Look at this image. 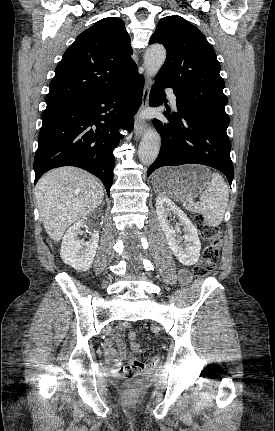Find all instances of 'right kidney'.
I'll return each instance as SVG.
<instances>
[{
	"label": "right kidney",
	"mask_w": 275,
	"mask_h": 431,
	"mask_svg": "<svg viewBox=\"0 0 275 431\" xmlns=\"http://www.w3.org/2000/svg\"><path fill=\"white\" fill-rule=\"evenodd\" d=\"M80 220L71 226L65 233L62 246L61 258L65 264L71 265L77 271H87L91 266L98 248L99 234L94 230L88 242L79 240L78 232L84 226Z\"/></svg>",
	"instance_id": "1"
}]
</instances>
